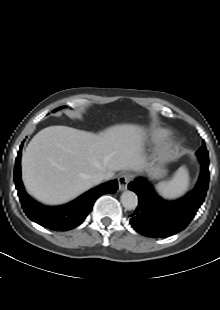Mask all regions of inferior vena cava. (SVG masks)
Wrapping results in <instances>:
<instances>
[{
	"instance_id": "1",
	"label": "inferior vena cava",
	"mask_w": 220,
	"mask_h": 310,
	"mask_svg": "<svg viewBox=\"0 0 220 310\" xmlns=\"http://www.w3.org/2000/svg\"><path fill=\"white\" fill-rule=\"evenodd\" d=\"M108 177H107V175L106 174H104V173H96V174H94V175H92L91 177H90V180H91V182L93 183V184H99V183H101L103 180H105V179H107Z\"/></svg>"
}]
</instances>
